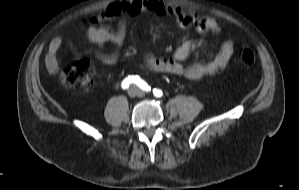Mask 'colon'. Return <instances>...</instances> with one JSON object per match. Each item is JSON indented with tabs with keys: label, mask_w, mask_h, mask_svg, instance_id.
I'll use <instances>...</instances> for the list:
<instances>
[{
	"label": "colon",
	"mask_w": 299,
	"mask_h": 190,
	"mask_svg": "<svg viewBox=\"0 0 299 190\" xmlns=\"http://www.w3.org/2000/svg\"><path fill=\"white\" fill-rule=\"evenodd\" d=\"M240 59L244 65L251 66L255 61L254 51L249 46H243L240 52ZM61 77L64 84L80 92H88L92 89L91 67L85 59L75 60L65 68Z\"/></svg>",
	"instance_id": "colon-1"
}]
</instances>
